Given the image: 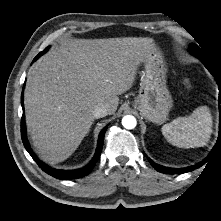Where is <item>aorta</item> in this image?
Masks as SVG:
<instances>
[{
	"instance_id": "1",
	"label": "aorta",
	"mask_w": 221,
	"mask_h": 221,
	"mask_svg": "<svg viewBox=\"0 0 221 221\" xmlns=\"http://www.w3.org/2000/svg\"><path fill=\"white\" fill-rule=\"evenodd\" d=\"M136 118L132 115H126L122 119V125L126 129H134L136 127Z\"/></svg>"
}]
</instances>
